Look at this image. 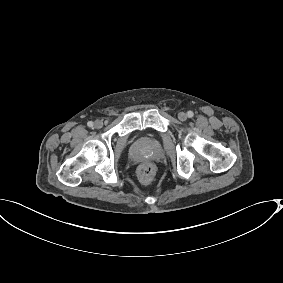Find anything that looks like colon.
I'll list each match as a JSON object with an SVG mask.
<instances>
[{"instance_id": "colon-1", "label": "colon", "mask_w": 283, "mask_h": 283, "mask_svg": "<svg viewBox=\"0 0 283 283\" xmlns=\"http://www.w3.org/2000/svg\"><path fill=\"white\" fill-rule=\"evenodd\" d=\"M139 180L143 184H148L151 182L154 176V167L151 164H142L138 171Z\"/></svg>"}]
</instances>
